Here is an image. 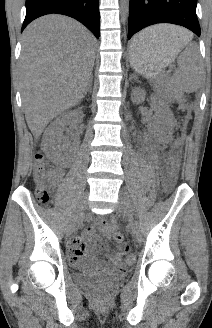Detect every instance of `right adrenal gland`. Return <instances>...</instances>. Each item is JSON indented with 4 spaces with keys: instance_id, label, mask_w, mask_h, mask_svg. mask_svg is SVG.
<instances>
[{
    "instance_id": "2a0ac1e0",
    "label": "right adrenal gland",
    "mask_w": 212,
    "mask_h": 328,
    "mask_svg": "<svg viewBox=\"0 0 212 328\" xmlns=\"http://www.w3.org/2000/svg\"><path fill=\"white\" fill-rule=\"evenodd\" d=\"M91 91H92V78L90 79V81L88 83V86H87V88H86V90L84 92L83 98H85L87 92H90L91 93Z\"/></svg>"
}]
</instances>
